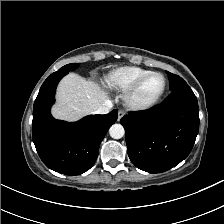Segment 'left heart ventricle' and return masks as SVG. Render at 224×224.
Returning a JSON list of instances; mask_svg holds the SVG:
<instances>
[{
  "label": "left heart ventricle",
  "mask_w": 224,
  "mask_h": 224,
  "mask_svg": "<svg viewBox=\"0 0 224 224\" xmlns=\"http://www.w3.org/2000/svg\"><path fill=\"white\" fill-rule=\"evenodd\" d=\"M164 87V79L161 75L149 77L141 86L137 93V100L141 102L155 98Z\"/></svg>",
  "instance_id": "obj_1"
}]
</instances>
